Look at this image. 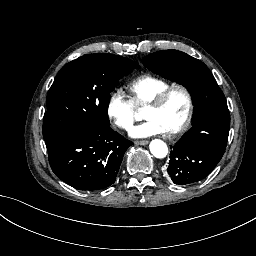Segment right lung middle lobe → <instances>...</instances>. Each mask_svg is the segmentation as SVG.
<instances>
[{"mask_svg": "<svg viewBox=\"0 0 256 256\" xmlns=\"http://www.w3.org/2000/svg\"><path fill=\"white\" fill-rule=\"evenodd\" d=\"M135 67L134 61L114 54H88L67 63L47 95L44 140L110 127V92Z\"/></svg>", "mask_w": 256, "mask_h": 256, "instance_id": "right-lung-middle-lobe-1", "label": "right lung middle lobe"}]
</instances>
